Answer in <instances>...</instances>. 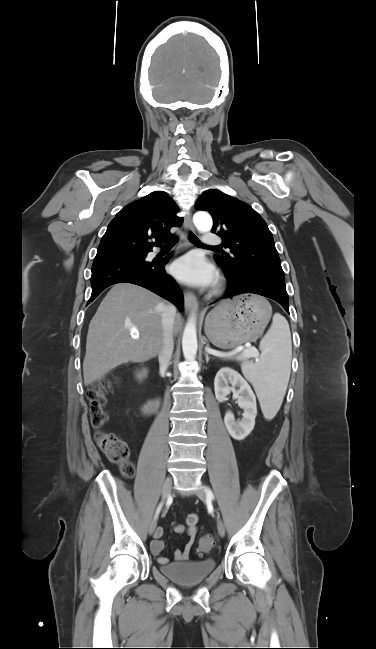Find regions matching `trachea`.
<instances>
[{
	"mask_svg": "<svg viewBox=\"0 0 376 649\" xmlns=\"http://www.w3.org/2000/svg\"><path fill=\"white\" fill-rule=\"evenodd\" d=\"M189 240L191 243H193L196 246H203L201 241L193 234L190 233ZM166 245H174L176 243V239L174 237H168L165 239ZM213 248H218L217 246H214Z\"/></svg>",
	"mask_w": 376,
	"mask_h": 649,
	"instance_id": "1",
	"label": "trachea"
}]
</instances>
